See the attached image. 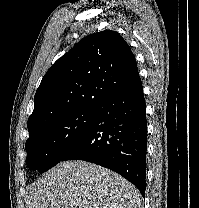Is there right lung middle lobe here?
Returning <instances> with one entry per match:
<instances>
[{
  "instance_id": "obj_1",
  "label": "right lung middle lobe",
  "mask_w": 199,
  "mask_h": 208,
  "mask_svg": "<svg viewBox=\"0 0 199 208\" xmlns=\"http://www.w3.org/2000/svg\"><path fill=\"white\" fill-rule=\"evenodd\" d=\"M96 107L77 108L57 115L29 131L26 164L43 173L62 161L84 136L96 113Z\"/></svg>"
}]
</instances>
